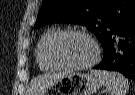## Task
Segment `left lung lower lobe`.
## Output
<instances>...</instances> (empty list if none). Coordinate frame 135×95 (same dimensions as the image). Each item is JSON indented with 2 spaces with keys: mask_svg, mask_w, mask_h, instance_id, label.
Listing matches in <instances>:
<instances>
[{
  "mask_svg": "<svg viewBox=\"0 0 135 95\" xmlns=\"http://www.w3.org/2000/svg\"><path fill=\"white\" fill-rule=\"evenodd\" d=\"M103 59L94 69L117 71L135 82V15L101 44Z\"/></svg>",
  "mask_w": 135,
  "mask_h": 95,
  "instance_id": "obj_1",
  "label": "left lung lower lobe"
}]
</instances>
